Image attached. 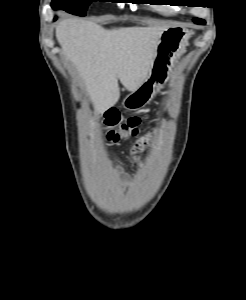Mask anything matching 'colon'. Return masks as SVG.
Listing matches in <instances>:
<instances>
[{
    "instance_id": "obj_1",
    "label": "colon",
    "mask_w": 246,
    "mask_h": 300,
    "mask_svg": "<svg viewBox=\"0 0 246 300\" xmlns=\"http://www.w3.org/2000/svg\"><path fill=\"white\" fill-rule=\"evenodd\" d=\"M103 125L107 129V140L113 144L126 143L130 138L137 137L142 132L143 118L141 116L129 117L122 125L119 123V114L117 111L112 110L105 114ZM146 139L136 144L135 149H140Z\"/></svg>"
}]
</instances>
